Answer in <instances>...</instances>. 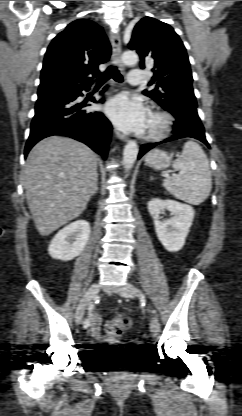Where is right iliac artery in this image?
Listing matches in <instances>:
<instances>
[{
	"mask_svg": "<svg viewBox=\"0 0 242 416\" xmlns=\"http://www.w3.org/2000/svg\"><path fill=\"white\" fill-rule=\"evenodd\" d=\"M88 310H89V314H90L92 312V310H93V305H90L89 308H88ZM89 325H90V321H89L88 318H86L84 320V322H83V327L84 328H87Z\"/></svg>",
	"mask_w": 242,
	"mask_h": 416,
	"instance_id": "1",
	"label": "right iliac artery"
}]
</instances>
